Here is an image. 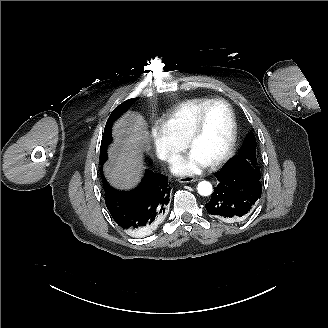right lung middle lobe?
I'll use <instances>...</instances> for the list:
<instances>
[{"instance_id":"obj_1","label":"right lung middle lobe","mask_w":328,"mask_h":328,"mask_svg":"<svg viewBox=\"0 0 328 328\" xmlns=\"http://www.w3.org/2000/svg\"><path fill=\"white\" fill-rule=\"evenodd\" d=\"M137 100V98L129 99L121 103L119 106H117L111 115L109 116L105 129L104 134L101 141V147H100V164H101V177L103 180V183L105 182V177L103 178V172L102 167L105 161L107 160V146L110 144L112 137H111V130L113 122L120 117L127 109Z\"/></svg>"}]
</instances>
